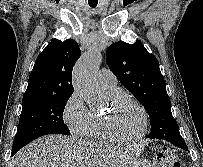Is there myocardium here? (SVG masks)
<instances>
[{
    "label": "myocardium",
    "instance_id": "obj_1",
    "mask_svg": "<svg viewBox=\"0 0 203 167\" xmlns=\"http://www.w3.org/2000/svg\"><path fill=\"white\" fill-rule=\"evenodd\" d=\"M108 98L111 103V107H110L109 111H111L113 109L114 105L120 101L129 102L130 104L137 107L140 110L142 117H143V126H142L141 131L139 132V134L136 137H134L132 139L121 138L113 132V130L111 128V119H110L109 112H108L105 115L100 116L101 129H102V132H103L105 138L109 141L119 143V144H134V143L141 141L147 133V130L149 127V121H150L149 114H148L146 108L140 102H138L137 100L130 97L128 94L121 92V91H115V92L109 93Z\"/></svg>",
    "mask_w": 203,
    "mask_h": 167
}]
</instances>
